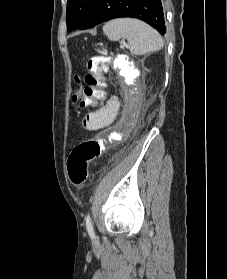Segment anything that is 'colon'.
I'll list each match as a JSON object with an SVG mask.
<instances>
[{
    "label": "colon",
    "instance_id": "5ec220e1",
    "mask_svg": "<svg viewBox=\"0 0 227 279\" xmlns=\"http://www.w3.org/2000/svg\"><path fill=\"white\" fill-rule=\"evenodd\" d=\"M87 70L88 73L84 77L85 86L73 97L80 107H87L95 100L103 98L107 84L102 58H90ZM106 145L107 139L98 135L74 147L67 163L69 179L74 185L81 186L86 181L89 163L104 154Z\"/></svg>",
    "mask_w": 227,
    "mask_h": 279
}]
</instances>
